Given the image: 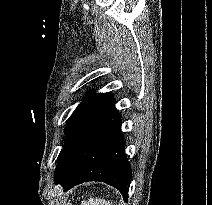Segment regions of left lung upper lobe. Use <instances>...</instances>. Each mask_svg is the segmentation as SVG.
Segmentation results:
<instances>
[{
  "mask_svg": "<svg viewBox=\"0 0 212 205\" xmlns=\"http://www.w3.org/2000/svg\"><path fill=\"white\" fill-rule=\"evenodd\" d=\"M103 95H104L103 93L88 94V97L83 99V101L80 103V105H78V107L74 110L71 117L67 121V124L65 126L66 142L58 157L57 168L55 170V180L58 178L60 174L64 159L68 153L71 141L74 137V134L79 124L81 123L85 115L88 113V111L95 105V103Z\"/></svg>",
  "mask_w": 212,
  "mask_h": 205,
  "instance_id": "obj_1",
  "label": "left lung upper lobe"
}]
</instances>
